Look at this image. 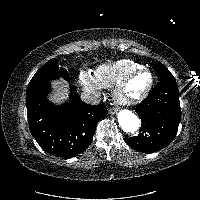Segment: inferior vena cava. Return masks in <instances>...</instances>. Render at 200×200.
<instances>
[{"label": "inferior vena cava", "mask_w": 200, "mask_h": 200, "mask_svg": "<svg viewBox=\"0 0 200 200\" xmlns=\"http://www.w3.org/2000/svg\"><path fill=\"white\" fill-rule=\"evenodd\" d=\"M81 99L87 103L92 105H98L100 100L95 96L88 93L81 94Z\"/></svg>", "instance_id": "1"}]
</instances>
